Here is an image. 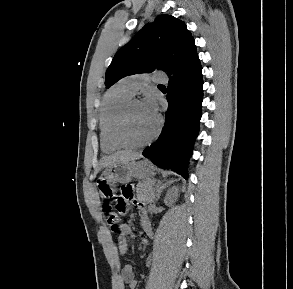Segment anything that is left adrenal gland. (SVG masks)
Returning <instances> with one entry per match:
<instances>
[{
    "instance_id": "left-adrenal-gland-1",
    "label": "left adrenal gland",
    "mask_w": 293,
    "mask_h": 289,
    "mask_svg": "<svg viewBox=\"0 0 293 289\" xmlns=\"http://www.w3.org/2000/svg\"><path fill=\"white\" fill-rule=\"evenodd\" d=\"M173 182H174L173 179L170 180V181H167L166 183H161V182H159V184H158L157 187H156V196H157L156 200H159L160 195H161V193L163 192V190H164L165 188L169 187Z\"/></svg>"
}]
</instances>
